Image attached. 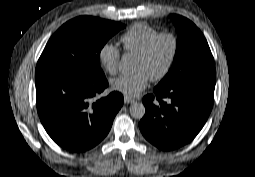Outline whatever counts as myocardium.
I'll return each instance as SVG.
<instances>
[{"label": "myocardium", "instance_id": "myocardium-1", "mask_svg": "<svg viewBox=\"0 0 255 177\" xmlns=\"http://www.w3.org/2000/svg\"><path fill=\"white\" fill-rule=\"evenodd\" d=\"M163 38L170 39V41L172 43V48H171L170 55L168 57V60L166 62L165 67L163 68V70L158 75L149 78L152 82H158V81L164 79L170 72V70L174 64V61L176 59L178 49H179V42H178L177 37L173 33H169V32L159 33L156 36H154L152 39H150L148 41V43L145 45V47L142 49V51L137 55V57L142 58V59L148 58L151 51L157 44V42Z\"/></svg>", "mask_w": 255, "mask_h": 177}]
</instances>
